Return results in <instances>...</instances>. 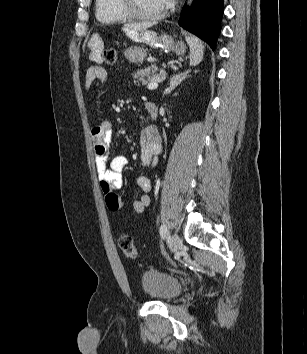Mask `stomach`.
I'll list each match as a JSON object with an SVG mask.
<instances>
[{
	"mask_svg": "<svg viewBox=\"0 0 307 354\" xmlns=\"http://www.w3.org/2000/svg\"><path fill=\"white\" fill-rule=\"evenodd\" d=\"M138 38H130L138 43H145L151 47L159 46L163 50L174 51L178 55L185 53V45L183 42H175L173 38L167 34L158 35L151 31H142L138 33ZM126 59L130 62H142L147 56L146 51L138 46L129 47L124 51Z\"/></svg>",
	"mask_w": 307,
	"mask_h": 354,
	"instance_id": "1",
	"label": "stomach"
}]
</instances>
